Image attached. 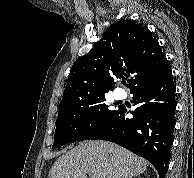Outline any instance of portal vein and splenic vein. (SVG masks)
I'll list each match as a JSON object with an SVG mask.
<instances>
[{
    "label": "portal vein and splenic vein",
    "instance_id": "1",
    "mask_svg": "<svg viewBox=\"0 0 194 178\" xmlns=\"http://www.w3.org/2000/svg\"><path fill=\"white\" fill-rule=\"evenodd\" d=\"M74 178H88L86 175H78V176H75Z\"/></svg>",
    "mask_w": 194,
    "mask_h": 178
}]
</instances>
